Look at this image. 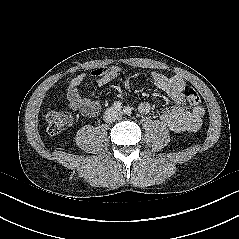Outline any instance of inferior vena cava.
Listing matches in <instances>:
<instances>
[{
    "instance_id": "1",
    "label": "inferior vena cava",
    "mask_w": 239,
    "mask_h": 239,
    "mask_svg": "<svg viewBox=\"0 0 239 239\" xmlns=\"http://www.w3.org/2000/svg\"><path fill=\"white\" fill-rule=\"evenodd\" d=\"M118 114L119 112L116 110H109L106 111L105 113V121L106 122H110V121H114L118 118Z\"/></svg>"
}]
</instances>
